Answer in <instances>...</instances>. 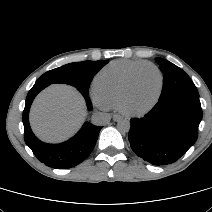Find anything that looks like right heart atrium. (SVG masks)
Instances as JSON below:
<instances>
[{
	"label": "right heart atrium",
	"instance_id": "d8ad5b80",
	"mask_svg": "<svg viewBox=\"0 0 212 212\" xmlns=\"http://www.w3.org/2000/svg\"><path fill=\"white\" fill-rule=\"evenodd\" d=\"M92 98H93V101L94 103L102 108V109H106L108 108L109 106L103 101V99L99 96V94L96 92V90L94 89L93 92H92Z\"/></svg>",
	"mask_w": 212,
	"mask_h": 212
}]
</instances>
